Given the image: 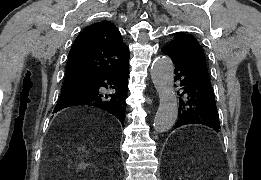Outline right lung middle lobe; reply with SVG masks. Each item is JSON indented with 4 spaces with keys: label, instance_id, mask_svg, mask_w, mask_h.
Segmentation results:
<instances>
[{
    "label": "right lung middle lobe",
    "instance_id": "obj_1",
    "mask_svg": "<svg viewBox=\"0 0 261 180\" xmlns=\"http://www.w3.org/2000/svg\"><path fill=\"white\" fill-rule=\"evenodd\" d=\"M90 85H91V82H89V81L64 82L60 97L66 96V95L74 93V92L88 90Z\"/></svg>",
    "mask_w": 261,
    "mask_h": 180
}]
</instances>
